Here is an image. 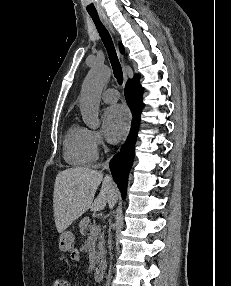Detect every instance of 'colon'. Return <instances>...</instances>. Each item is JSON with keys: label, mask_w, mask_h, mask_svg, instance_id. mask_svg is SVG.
I'll use <instances>...</instances> for the list:
<instances>
[{"label": "colon", "mask_w": 231, "mask_h": 286, "mask_svg": "<svg viewBox=\"0 0 231 286\" xmlns=\"http://www.w3.org/2000/svg\"><path fill=\"white\" fill-rule=\"evenodd\" d=\"M53 286H71V284L65 279H57Z\"/></svg>", "instance_id": "1"}]
</instances>
